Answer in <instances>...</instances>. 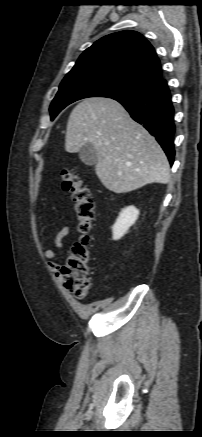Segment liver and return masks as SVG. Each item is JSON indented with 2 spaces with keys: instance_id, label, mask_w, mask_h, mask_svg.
Here are the masks:
<instances>
[{
  "instance_id": "6515ba94",
  "label": "liver",
  "mask_w": 202,
  "mask_h": 437,
  "mask_svg": "<svg viewBox=\"0 0 202 437\" xmlns=\"http://www.w3.org/2000/svg\"><path fill=\"white\" fill-rule=\"evenodd\" d=\"M85 143L96 149L95 172L112 192H131L170 179L169 162L161 146L113 99L87 98L72 110L65 150L79 152Z\"/></svg>"
}]
</instances>
